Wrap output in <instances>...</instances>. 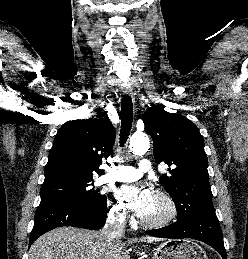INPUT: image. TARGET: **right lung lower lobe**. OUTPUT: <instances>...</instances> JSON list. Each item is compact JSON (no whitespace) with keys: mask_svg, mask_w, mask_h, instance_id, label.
<instances>
[{"mask_svg":"<svg viewBox=\"0 0 248 259\" xmlns=\"http://www.w3.org/2000/svg\"><path fill=\"white\" fill-rule=\"evenodd\" d=\"M106 211L107 205L99 207L63 199L41 200L36 210L29 247L38 237L57 227L101 229L106 221Z\"/></svg>","mask_w":248,"mask_h":259,"instance_id":"1","label":"right lung lower lobe"}]
</instances>
